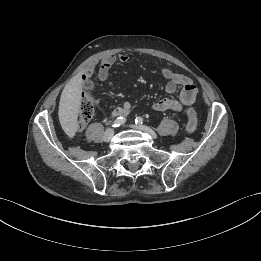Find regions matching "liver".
I'll list each match as a JSON object with an SVG mask.
<instances>
[{
    "instance_id": "liver-1",
    "label": "liver",
    "mask_w": 261,
    "mask_h": 261,
    "mask_svg": "<svg viewBox=\"0 0 261 261\" xmlns=\"http://www.w3.org/2000/svg\"><path fill=\"white\" fill-rule=\"evenodd\" d=\"M82 80L79 75L71 78L64 87L59 103V119L64 128L75 131L81 105Z\"/></svg>"
}]
</instances>
